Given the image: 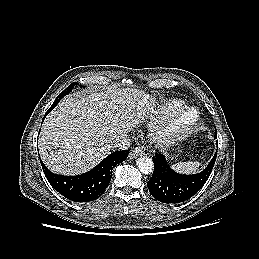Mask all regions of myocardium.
Masks as SVG:
<instances>
[{"label":"myocardium","instance_id":"1","mask_svg":"<svg viewBox=\"0 0 259 259\" xmlns=\"http://www.w3.org/2000/svg\"><path fill=\"white\" fill-rule=\"evenodd\" d=\"M199 120L200 113L197 109L181 107L152 128L151 139L160 145H169L191 133Z\"/></svg>","mask_w":259,"mask_h":259}]
</instances>
